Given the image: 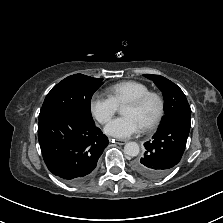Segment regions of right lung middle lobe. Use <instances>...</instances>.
Returning a JSON list of instances; mask_svg holds the SVG:
<instances>
[{"label":"right lung middle lobe","mask_w":223,"mask_h":223,"mask_svg":"<svg viewBox=\"0 0 223 223\" xmlns=\"http://www.w3.org/2000/svg\"><path fill=\"white\" fill-rule=\"evenodd\" d=\"M103 84L102 79L83 74L71 75L47 94L39 114V120L57 112L71 111L93 121L90 101L94 92Z\"/></svg>","instance_id":"1"}]
</instances>
